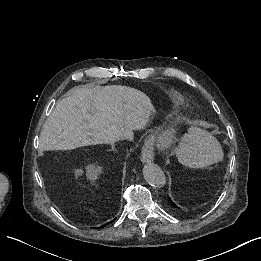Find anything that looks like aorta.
<instances>
[{
	"instance_id": "aorta-1",
	"label": "aorta",
	"mask_w": 261,
	"mask_h": 261,
	"mask_svg": "<svg viewBox=\"0 0 261 261\" xmlns=\"http://www.w3.org/2000/svg\"><path fill=\"white\" fill-rule=\"evenodd\" d=\"M146 182L156 188H162L166 184V177L162 169L154 163H148L143 168Z\"/></svg>"
}]
</instances>
